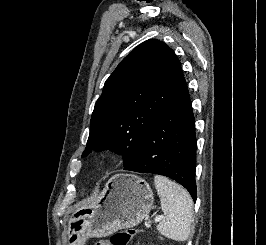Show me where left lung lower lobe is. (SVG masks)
<instances>
[{"mask_svg":"<svg viewBox=\"0 0 266 245\" xmlns=\"http://www.w3.org/2000/svg\"><path fill=\"white\" fill-rule=\"evenodd\" d=\"M195 118L187 84L168 102L141 139L139 152L125 170L167 176L196 201Z\"/></svg>","mask_w":266,"mask_h":245,"instance_id":"1","label":"left lung lower lobe"}]
</instances>
